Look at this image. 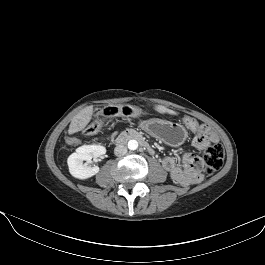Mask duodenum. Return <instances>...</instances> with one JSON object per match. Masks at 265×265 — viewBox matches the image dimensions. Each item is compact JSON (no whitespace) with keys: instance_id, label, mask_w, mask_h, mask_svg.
<instances>
[{"instance_id":"410a0bca","label":"duodenum","mask_w":265,"mask_h":265,"mask_svg":"<svg viewBox=\"0 0 265 265\" xmlns=\"http://www.w3.org/2000/svg\"><path fill=\"white\" fill-rule=\"evenodd\" d=\"M137 140L141 143L142 147L149 153L154 154V150L149 143L144 139V137L137 131L129 130L122 133L115 141L117 145L123 144L128 140Z\"/></svg>"}]
</instances>
